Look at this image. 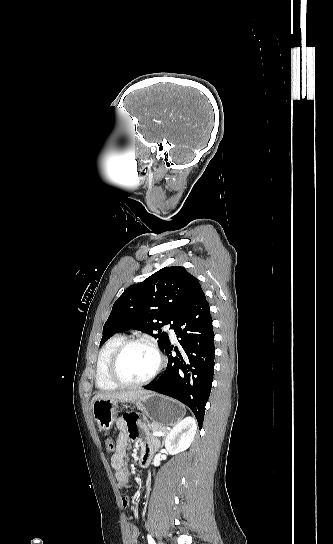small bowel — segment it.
<instances>
[{
	"label": "small bowel",
	"instance_id": "obj_1",
	"mask_svg": "<svg viewBox=\"0 0 333 544\" xmlns=\"http://www.w3.org/2000/svg\"><path fill=\"white\" fill-rule=\"evenodd\" d=\"M119 429V435L116 442V448L111 455V465L114 469L115 478L120 488H126L129 486V471L125 464V457L131 441H135L139 444L142 452L147 453L150 456L152 448V442L149 439H141L138 432V419L120 418L117 422ZM122 506L127 508L130 506V498L124 496L122 498ZM127 533L131 544H137L138 542V530L137 528L129 524L127 525Z\"/></svg>",
	"mask_w": 333,
	"mask_h": 544
}]
</instances>
